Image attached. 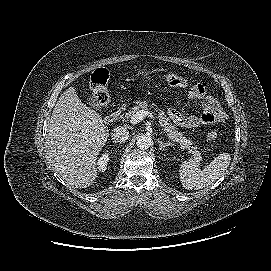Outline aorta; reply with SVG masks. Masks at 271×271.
Returning a JSON list of instances; mask_svg holds the SVG:
<instances>
[{"instance_id": "aorta-1", "label": "aorta", "mask_w": 271, "mask_h": 271, "mask_svg": "<svg viewBox=\"0 0 271 271\" xmlns=\"http://www.w3.org/2000/svg\"><path fill=\"white\" fill-rule=\"evenodd\" d=\"M136 145L139 149L147 150L152 145V139L148 135H140L137 137Z\"/></svg>"}]
</instances>
